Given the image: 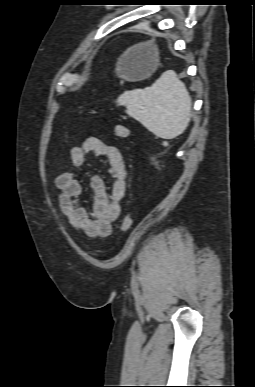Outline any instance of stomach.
I'll list each match as a JSON object with an SVG mask.
<instances>
[{
  "label": "stomach",
  "mask_w": 255,
  "mask_h": 387,
  "mask_svg": "<svg viewBox=\"0 0 255 387\" xmlns=\"http://www.w3.org/2000/svg\"><path fill=\"white\" fill-rule=\"evenodd\" d=\"M159 65L157 47L152 43L138 44L121 56L116 74L127 81H140L150 77Z\"/></svg>",
  "instance_id": "0dacf381"
}]
</instances>
